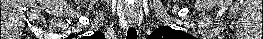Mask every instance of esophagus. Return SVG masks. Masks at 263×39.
<instances>
[{
	"label": "esophagus",
	"mask_w": 263,
	"mask_h": 39,
	"mask_svg": "<svg viewBox=\"0 0 263 39\" xmlns=\"http://www.w3.org/2000/svg\"><path fill=\"white\" fill-rule=\"evenodd\" d=\"M128 21H129V23L132 24V25H136V23H137V19L134 18V17L128 18Z\"/></svg>",
	"instance_id": "34e87169"
}]
</instances>
